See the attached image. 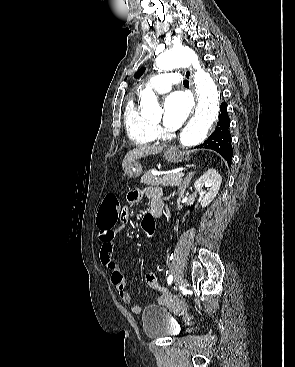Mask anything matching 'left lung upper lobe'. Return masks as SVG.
<instances>
[{
  "instance_id": "1",
  "label": "left lung upper lobe",
  "mask_w": 295,
  "mask_h": 367,
  "mask_svg": "<svg viewBox=\"0 0 295 367\" xmlns=\"http://www.w3.org/2000/svg\"><path fill=\"white\" fill-rule=\"evenodd\" d=\"M144 71H145V69H141V70H139L136 74H135V77L136 78H138V77H140L143 73H144Z\"/></svg>"
}]
</instances>
